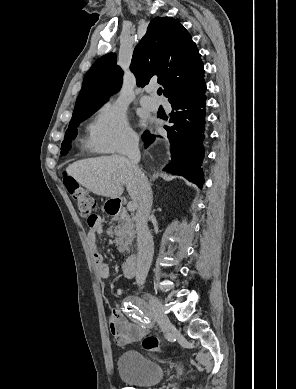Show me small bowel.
Listing matches in <instances>:
<instances>
[{"label":"small bowel","instance_id":"obj_1","mask_svg":"<svg viewBox=\"0 0 296 389\" xmlns=\"http://www.w3.org/2000/svg\"><path fill=\"white\" fill-rule=\"evenodd\" d=\"M101 232L102 220L100 216L94 215V221L89 223L88 243L100 277L107 279L109 277V268L103 261L102 255L96 245V236ZM109 325L115 341L119 345L137 343L147 334V327L145 325L130 322L119 309H112Z\"/></svg>","mask_w":296,"mask_h":389}]
</instances>
